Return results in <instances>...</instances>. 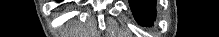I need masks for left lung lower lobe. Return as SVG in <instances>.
<instances>
[{"mask_svg":"<svg viewBox=\"0 0 219 37\" xmlns=\"http://www.w3.org/2000/svg\"><path fill=\"white\" fill-rule=\"evenodd\" d=\"M136 21L141 25H152L155 19L156 0H129Z\"/></svg>","mask_w":219,"mask_h":37,"instance_id":"left-lung-lower-lobe-1","label":"left lung lower lobe"}]
</instances>
